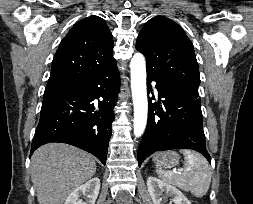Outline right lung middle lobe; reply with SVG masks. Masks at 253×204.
Segmentation results:
<instances>
[{
  "label": "right lung middle lobe",
  "mask_w": 253,
  "mask_h": 204,
  "mask_svg": "<svg viewBox=\"0 0 253 204\" xmlns=\"http://www.w3.org/2000/svg\"><path fill=\"white\" fill-rule=\"evenodd\" d=\"M70 82H48L46 88H45V93L52 91V90H56L59 89L61 87H64L66 85H68Z\"/></svg>",
  "instance_id": "obj_1"
}]
</instances>
